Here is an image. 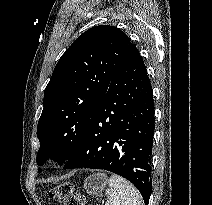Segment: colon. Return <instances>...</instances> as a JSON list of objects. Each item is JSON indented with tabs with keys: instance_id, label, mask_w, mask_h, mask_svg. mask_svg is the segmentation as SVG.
<instances>
[{
	"instance_id": "5ec220e1",
	"label": "colon",
	"mask_w": 212,
	"mask_h": 205,
	"mask_svg": "<svg viewBox=\"0 0 212 205\" xmlns=\"http://www.w3.org/2000/svg\"><path fill=\"white\" fill-rule=\"evenodd\" d=\"M50 197L62 205H84L82 196L74 190L70 183H62L50 191Z\"/></svg>"
}]
</instances>
